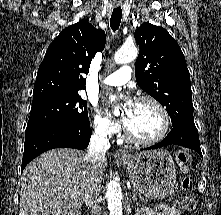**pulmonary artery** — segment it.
<instances>
[{"instance_id": "e3ab8cb5", "label": "pulmonary artery", "mask_w": 221, "mask_h": 215, "mask_svg": "<svg viewBox=\"0 0 221 215\" xmlns=\"http://www.w3.org/2000/svg\"><path fill=\"white\" fill-rule=\"evenodd\" d=\"M132 69L129 66H122L114 73L102 80L104 85L119 86L128 82L131 78Z\"/></svg>"}]
</instances>
